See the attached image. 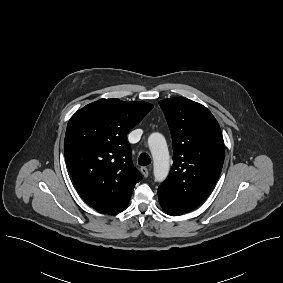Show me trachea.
<instances>
[{
    "instance_id": "1",
    "label": "trachea",
    "mask_w": 283,
    "mask_h": 283,
    "mask_svg": "<svg viewBox=\"0 0 283 283\" xmlns=\"http://www.w3.org/2000/svg\"><path fill=\"white\" fill-rule=\"evenodd\" d=\"M138 163L141 166H146L151 163V159L148 154L142 153L138 158Z\"/></svg>"
}]
</instances>
